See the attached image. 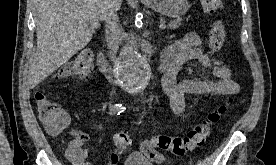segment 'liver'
<instances>
[{
  "label": "liver",
  "instance_id": "obj_1",
  "mask_svg": "<svg viewBox=\"0 0 276 165\" xmlns=\"http://www.w3.org/2000/svg\"><path fill=\"white\" fill-rule=\"evenodd\" d=\"M122 0H36L37 50L28 85L39 83L71 59L92 39L95 22L119 10Z\"/></svg>",
  "mask_w": 276,
  "mask_h": 165
}]
</instances>
